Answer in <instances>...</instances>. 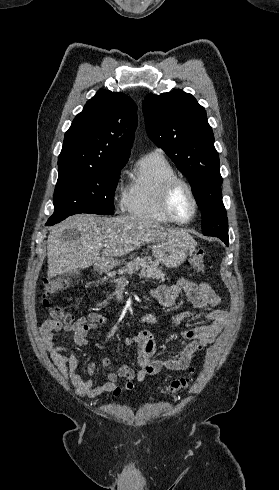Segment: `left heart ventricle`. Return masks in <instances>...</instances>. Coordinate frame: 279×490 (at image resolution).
I'll return each mask as SVG.
<instances>
[{
	"instance_id": "obj_1",
	"label": "left heart ventricle",
	"mask_w": 279,
	"mask_h": 490,
	"mask_svg": "<svg viewBox=\"0 0 279 490\" xmlns=\"http://www.w3.org/2000/svg\"><path fill=\"white\" fill-rule=\"evenodd\" d=\"M174 210L176 216L181 220L188 219L192 214V200L185 187L180 188L174 198Z\"/></svg>"
}]
</instances>
